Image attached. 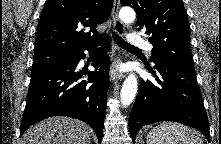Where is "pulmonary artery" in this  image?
<instances>
[{
	"label": "pulmonary artery",
	"mask_w": 221,
	"mask_h": 144,
	"mask_svg": "<svg viewBox=\"0 0 221 144\" xmlns=\"http://www.w3.org/2000/svg\"><path fill=\"white\" fill-rule=\"evenodd\" d=\"M128 42L135 47H140V48H144L147 51H151L153 46L146 41L145 39H143L139 34L137 33H131L128 36Z\"/></svg>",
	"instance_id": "1"
}]
</instances>
